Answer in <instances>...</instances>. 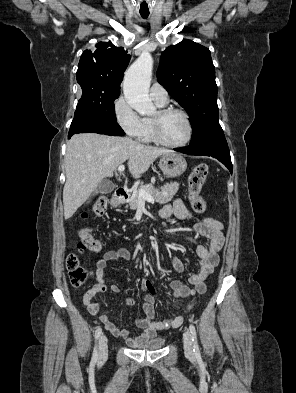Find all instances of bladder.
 I'll return each instance as SVG.
<instances>
[{
  "label": "bladder",
  "instance_id": "obj_1",
  "mask_svg": "<svg viewBox=\"0 0 296 393\" xmlns=\"http://www.w3.org/2000/svg\"><path fill=\"white\" fill-rule=\"evenodd\" d=\"M164 344H165V339L160 337V338L149 340L141 345H138L137 348L140 350L154 351L162 348Z\"/></svg>",
  "mask_w": 296,
  "mask_h": 393
}]
</instances>
